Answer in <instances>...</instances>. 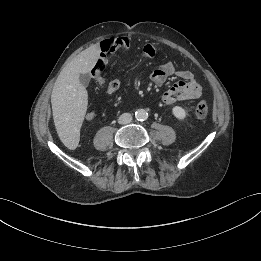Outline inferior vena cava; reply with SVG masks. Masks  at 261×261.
Wrapping results in <instances>:
<instances>
[{"instance_id":"602c4592","label":"inferior vena cava","mask_w":261,"mask_h":261,"mask_svg":"<svg viewBox=\"0 0 261 261\" xmlns=\"http://www.w3.org/2000/svg\"><path fill=\"white\" fill-rule=\"evenodd\" d=\"M132 121V115L130 113H123L120 115L118 122L120 124H128Z\"/></svg>"}]
</instances>
